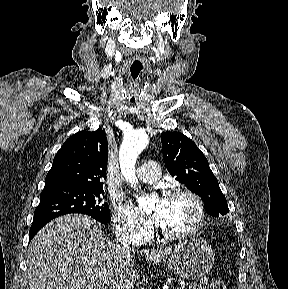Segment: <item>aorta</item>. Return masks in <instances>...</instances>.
Listing matches in <instances>:
<instances>
[{"label": "aorta", "instance_id": "762f6f07", "mask_svg": "<svg viewBox=\"0 0 288 289\" xmlns=\"http://www.w3.org/2000/svg\"><path fill=\"white\" fill-rule=\"evenodd\" d=\"M148 144V137L145 133L136 131L126 137L121 145L119 160L120 168L124 178L136 188L135 163L139 154ZM139 208L143 211H151L154 207V200L147 195L137 198Z\"/></svg>", "mask_w": 288, "mask_h": 289}]
</instances>
